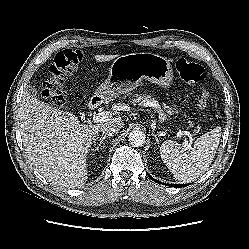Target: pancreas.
<instances>
[{
  "mask_svg": "<svg viewBox=\"0 0 249 249\" xmlns=\"http://www.w3.org/2000/svg\"><path fill=\"white\" fill-rule=\"evenodd\" d=\"M132 103L139 104V105H151L153 104V107L159 114V121L162 123L166 120V115L163 113V110L160 106V104L154 99L151 98L149 95H136L135 98L133 99Z\"/></svg>",
  "mask_w": 249,
  "mask_h": 249,
  "instance_id": "obj_1",
  "label": "pancreas"
}]
</instances>
